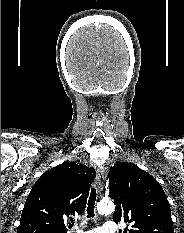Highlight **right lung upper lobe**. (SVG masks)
Here are the masks:
<instances>
[{"label": "right lung upper lobe", "instance_id": "1", "mask_svg": "<svg viewBox=\"0 0 184 233\" xmlns=\"http://www.w3.org/2000/svg\"><path fill=\"white\" fill-rule=\"evenodd\" d=\"M95 169L63 162L46 171L33 185L17 233H66L65 223L86 208Z\"/></svg>", "mask_w": 184, "mask_h": 233}]
</instances>
